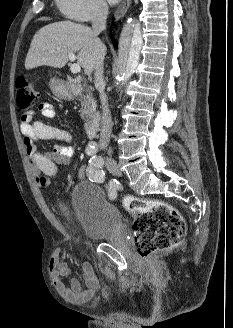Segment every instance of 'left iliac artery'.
<instances>
[{
  "label": "left iliac artery",
  "mask_w": 233,
  "mask_h": 328,
  "mask_svg": "<svg viewBox=\"0 0 233 328\" xmlns=\"http://www.w3.org/2000/svg\"><path fill=\"white\" fill-rule=\"evenodd\" d=\"M104 160L102 157L92 156L89 160L87 175L93 182L102 183L105 179V173L102 169Z\"/></svg>",
  "instance_id": "1"
}]
</instances>
